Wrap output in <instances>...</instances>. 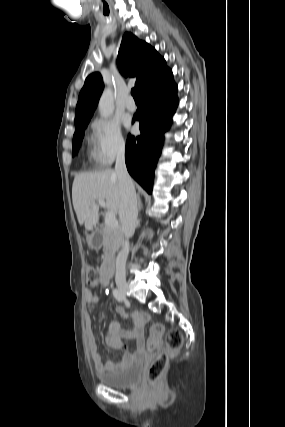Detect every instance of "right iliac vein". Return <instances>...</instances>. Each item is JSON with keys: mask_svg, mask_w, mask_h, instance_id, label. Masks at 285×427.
<instances>
[{"mask_svg": "<svg viewBox=\"0 0 285 427\" xmlns=\"http://www.w3.org/2000/svg\"><path fill=\"white\" fill-rule=\"evenodd\" d=\"M116 284H117L119 291L122 294H126L127 289H128L127 281L125 279L118 278V279H116Z\"/></svg>", "mask_w": 285, "mask_h": 427, "instance_id": "63e3f726", "label": "right iliac vein"}]
</instances>
